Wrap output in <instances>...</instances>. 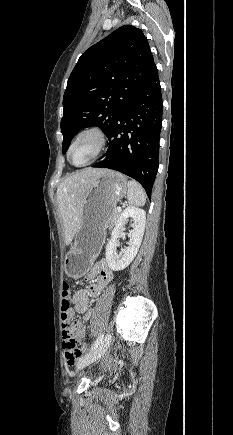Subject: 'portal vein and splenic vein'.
<instances>
[{
  "mask_svg": "<svg viewBox=\"0 0 233 435\" xmlns=\"http://www.w3.org/2000/svg\"><path fill=\"white\" fill-rule=\"evenodd\" d=\"M117 210H118V211H120V210H121V208H120V207H117Z\"/></svg>",
  "mask_w": 233,
  "mask_h": 435,
  "instance_id": "obj_1",
  "label": "portal vein and splenic vein"
}]
</instances>
